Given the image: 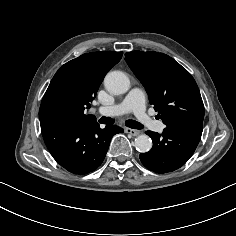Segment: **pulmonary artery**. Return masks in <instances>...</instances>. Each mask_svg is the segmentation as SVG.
I'll use <instances>...</instances> for the list:
<instances>
[{
	"label": "pulmonary artery",
	"mask_w": 236,
	"mask_h": 236,
	"mask_svg": "<svg viewBox=\"0 0 236 236\" xmlns=\"http://www.w3.org/2000/svg\"><path fill=\"white\" fill-rule=\"evenodd\" d=\"M97 112L102 115H123L132 112L143 123L151 122V118L146 113L145 95L140 88L131 89L119 104L98 107ZM163 127L162 123H158L156 130L161 132Z\"/></svg>",
	"instance_id": "e3ab8cb5"
}]
</instances>
